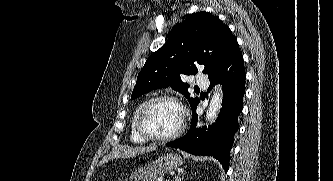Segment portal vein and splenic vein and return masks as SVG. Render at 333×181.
<instances>
[{
    "mask_svg": "<svg viewBox=\"0 0 333 181\" xmlns=\"http://www.w3.org/2000/svg\"><path fill=\"white\" fill-rule=\"evenodd\" d=\"M159 181H164L163 179H159Z\"/></svg>",
    "mask_w": 333,
    "mask_h": 181,
    "instance_id": "1",
    "label": "portal vein and splenic vein"
}]
</instances>
